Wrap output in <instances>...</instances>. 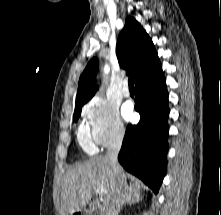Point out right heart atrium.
<instances>
[{"instance_id": "1", "label": "right heart atrium", "mask_w": 221, "mask_h": 215, "mask_svg": "<svg viewBox=\"0 0 221 215\" xmlns=\"http://www.w3.org/2000/svg\"><path fill=\"white\" fill-rule=\"evenodd\" d=\"M83 117L91 138L99 146L116 143L125 134L117 106L102 97H94L85 105Z\"/></svg>"}]
</instances>
